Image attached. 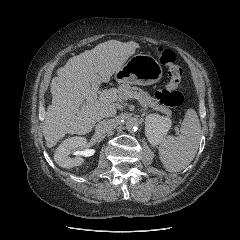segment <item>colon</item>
I'll return each instance as SVG.
<instances>
[{
  "label": "colon",
  "mask_w": 240,
  "mask_h": 240,
  "mask_svg": "<svg viewBox=\"0 0 240 240\" xmlns=\"http://www.w3.org/2000/svg\"><path fill=\"white\" fill-rule=\"evenodd\" d=\"M160 62L168 67L169 82L167 85L156 92V98L167 107H178L184 101L183 94L178 91V86L182 77L181 68L175 64L176 56L169 49L158 48Z\"/></svg>",
  "instance_id": "colon-1"
}]
</instances>
